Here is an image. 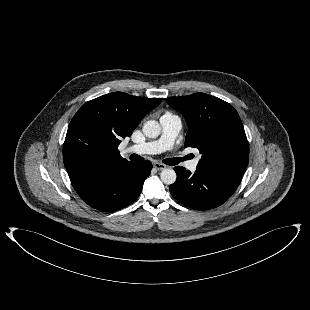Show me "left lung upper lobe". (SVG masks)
I'll return each instance as SVG.
<instances>
[{
    "label": "left lung upper lobe",
    "mask_w": 310,
    "mask_h": 310,
    "mask_svg": "<svg viewBox=\"0 0 310 310\" xmlns=\"http://www.w3.org/2000/svg\"><path fill=\"white\" fill-rule=\"evenodd\" d=\"M167 103L186 119L185 147L197 148L202 154L197 168L241 179L248 165L249 144L234 107L204 93L170 97Z\"/></svg>",
    "instance_id": "1"
}]
</instances>
